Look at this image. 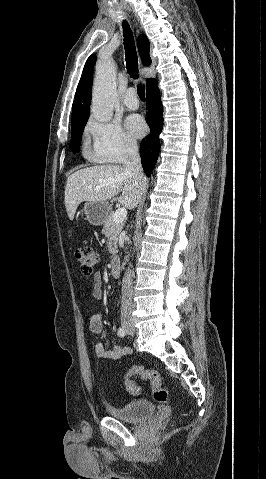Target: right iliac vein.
<instances>
[{"label":"right iliac vein","instance_id":"obj_1","mask_svg":"<svg viewBox=\"0 0 266 479\" xmlns=\"http://www.w3.org/2000/svg\"><path fill=\"white\" fill-rule=\"evenodd\" d=\"M124 326H125L126 328H130V327H131V324H130V323H125Z\"/></svg>","mask_w":266,"mask_h":479}]
</instances>
